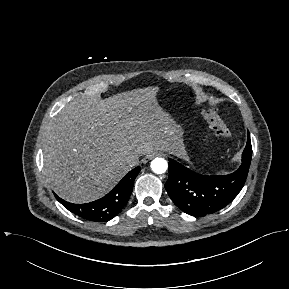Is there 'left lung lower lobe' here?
Here are the masks:
<instances>
[{
  "mask_svg": "<svg viewBox=\"0 0 289 289\" xmlns=\"http://www.w3.org/2000/svg\"><path fill=\"white\" fill-rule=\"evenodd\" d=\"M252 157L250 135L242 154V164L224 176L197 174L169 159V178L165 188L171 200L185 213L202 217L229 204L241 191L247 178Z\"/></svg>",
  "mask_w": 289,
  "mask_h": 289,
  "instance_id": "left-lung-lower-lobe-1",
  "label": "left lung lower lobe"
}]
</instances>
